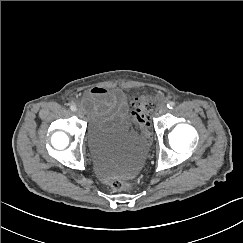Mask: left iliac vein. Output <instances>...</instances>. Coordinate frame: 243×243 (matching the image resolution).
Masks as SVG:
<instances>
[{"mask_svg": "<svg viewBox=\"0 0 243 243\" xmlns=\"http://www.w3.org/2000/svg\"><path fill=\"white\" fill-rule=\"evenodd\" d=\"M167 107L166 106H161L160 108H159V111H158V114L159 115H162V114H165L166 112H167Z\"/></svg>", "mask_w": 243, "mask_h": 243, "instance_id": "left-iliac-vein-1", "label": "left iliac vein"}]
</instances>
